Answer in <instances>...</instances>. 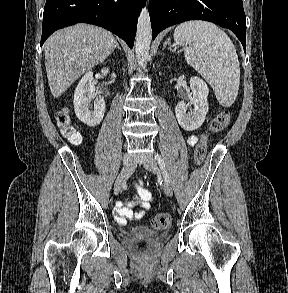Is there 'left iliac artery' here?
<instances>
[{
	"label": "left iliac artery",
	"instance_id": "1",
	"mask_svg": "<svg viewBox=\"0 0 288 293\" xmlns=\"http://www.w3.org/2000/svg\"><path fill=\"white\" fill-rule=\"evenodd\" d=\"M155 159L157 160V162L159 163V165L162 169V174H163L165 183L169 184V176H168V173L165 169V163H164L163 158L159 154H156Z\"/></svg>",
	"mask_w": 288,
	"mask_h": 293
}]
</instances>
